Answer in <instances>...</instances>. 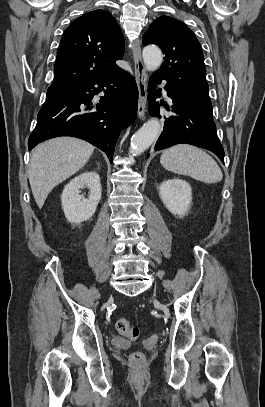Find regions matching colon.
<instances>
[{
	"instance_id": "5ec220e1",
	"label": "colon",
	"mask_w": 265,
	"mask_h": 407,
	"mask_svg": "<svg viewBox=\"0 0 265 407\" xmlns=\"http://www.w3.org/2000/svg\"><path fill=\"white\" fill-rule=\"evenodd\" d=\"M116 329L118 332L127 337L130 340H137L141 335V330L137 326H133L125 318H119L116 321ZM131 361L134 363H141L143 361V355L140 352H135L131 356Z\"/></svg>"
}]
</instances>
